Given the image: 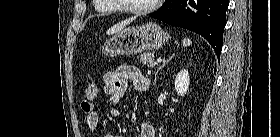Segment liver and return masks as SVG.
Segmentation results:
<instances>
[{"label":"liver","mask_w":280,"mask_h":137,"mask_svg":"<svg viewBox=\"0 0 280 137\" xmlns=\"http://www.w3.org/2000/svg\"><path fill=\"white\" fill-rule=\"evenodd\" d=\"M133 20V18L127 19L125 21H122L116 25H114L113 27L109 28L107 30V34H113V33H119L120 31H122L126 25H128L131 21Z\"/></svg>","instance_id":"6515ba94"}]
</instances>
